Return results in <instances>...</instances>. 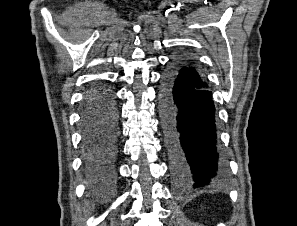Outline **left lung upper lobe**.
I'll return each instance as SVG.
<instances>
[{
  "mask_svg": "<svg viewBox=\"0 0 297 226\" xmlns=\"http://www.w3.org/2000/svg\"><path fill=\"white\" fill-rule=\"evenodd\" d=\"M178 74L182 76L186 82L194 87H207V83L203 77L195 69L186 57H179Z\"/></svg>",
  "mask_w": 297,
  "mask_h": 226,
  "instance_id": "left-lung-upper-lobe-1",
  "label": "left lung upper lobe"
}]
</instances>
